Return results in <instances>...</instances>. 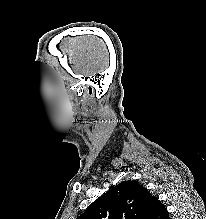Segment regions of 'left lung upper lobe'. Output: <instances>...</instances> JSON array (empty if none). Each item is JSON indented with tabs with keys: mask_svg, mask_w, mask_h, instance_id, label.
Here are the masks:
<instances>
[{
	"mask_svg": "<svg viewBox=\"0 0 206 219\" xmlns=\"http://www.w3.org/2000/svg\"><path fill=\"white\" fill-rule=\"evenodd\" d=\"M154 196L136 181L112 187L77 219H147Z\"/></svg>",
	"mask_w": 206,
	"mask_h": 219,
	"instance_id": "left-lung-upper-lobe-1",
	"label": "left lung upper lobe"
}]
</instances>
